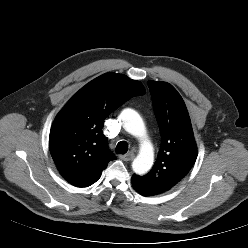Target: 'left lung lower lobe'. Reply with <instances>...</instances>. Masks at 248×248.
Wrapping results in <instances>:
<instances>
[{"instance_id": "1", "label": "left lung lower lobe", "mask_w": 248, "mask_h": 248, "mask_svg": "<svg viewBox=\"0 0 248 248\" xmlns=\"http://www.w3.org/2000/svg\"><path fill=\"white\" fill-rule=\"evenodd\" d=\"M135 189H136V191L138 192V193H140L141 195H143V196H149L147 193H145L143 190H141V189H139V188H137V187H134Z\"/></svg>"}]
</instances>
